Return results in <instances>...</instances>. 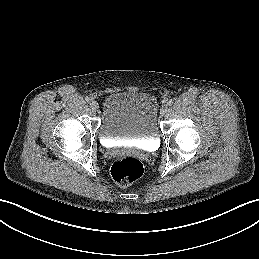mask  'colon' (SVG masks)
<instances>
[{
    "label": "colon",
    "instance_id": "colon-1",
    "mask_svg": "<svg viewBox=\"0 0 259 259\" xmlns=\"http://www.w3.org/2000/svg\"><path fill=\"white\" fill-rule=\"evenodd\" d=\"M143 174L141 161L134 156H124L114 161L111 175L120 186H128Z\"/></svg>",
    "mask_w": 259,
    "mask_h": 259
}]
</instances>
